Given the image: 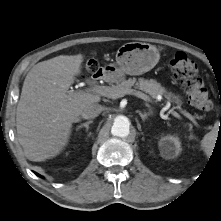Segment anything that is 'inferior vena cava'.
I'll return each mask as SVG.
<instances>
[{
    "label": "inferior vena cava",
    "instance_id": "obj_1",
    "mask_svg": "<svg viewBox=\"0 0 221 221\" xmlns=\"http://www.w3.org/2000/svg\"><path fill=\"white\" fill-rule=\"evenodd\" d=\"M101 112L102 106L98 103H92L85 106L80 115L83 119H93L97 117Z\"/></svg>",
    "mask_w": 221,
    "mask_h": 221
}]
</instances>
